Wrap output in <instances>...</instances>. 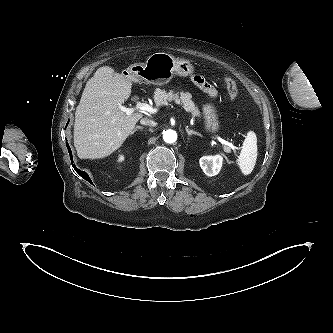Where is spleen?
I'll list each match as a JSON object with an SVG mask.
<instances>
[{
	"label": "spleen",
	"mask_w": 333,
	"mask_h": 333,
	"mask_svg": "<svg viewBox=\"0 0 333 333\" xmlns=\"http://www.w3.org/2000/svg\"><path fill=\"white\" fill-rule=\"evenodd\" d=\"M257 159V138L253 131H249L243 142L237 164L243 175L251 174Z\"/></svg>",
	"instance_id": "1"
}]
</instances>
